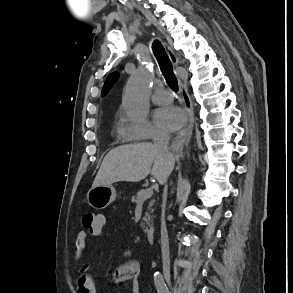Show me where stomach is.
Returning a JSON list of instances; mask_svg holds the SVG:
<instances>
[{
    "label": "stomach",
    "instance_id": "1",
    "mask_svg": "<svg viewBox=\"0 0 293 293\" xmlns=\"http://www.w3.org/2000/svg\"><path fill=\"white\" fill-rule=\"evenodd\" d=\"M116 198V191L112 185H99L92 187L87 193V200L90 206L100 210L109 206Z\"/></svg>",
    "mask_w": 293,
    "mask_h": 293
}]
</instances>
